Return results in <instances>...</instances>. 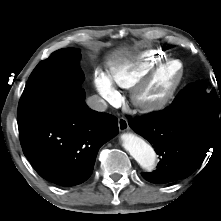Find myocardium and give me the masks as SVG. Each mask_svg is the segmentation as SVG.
I'll list each match as a JSON object with an SVG mask.
<instances>
[{"mask_svg":"<svg viewBox=\"0 0 221 221\" xmlns=\"http://www.w3.org/2000/svg\"><path fill=\"white\" fill-rule=\"evenodd\" d=\"M178 63L180 65V74L167 93L158 98H149L146 96V90L153 82L157 74L167 65ZM185 79V65L176 58H170L158 63L146 76L139 80L131 89L130 99L132 104L143 113H155L166 108L175 98Z\"/></svg>","mask_w":221,"mask_h":221,"instance_id":"f54148a6","label":"myocardium"}]
</instances>
